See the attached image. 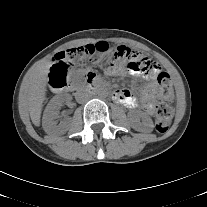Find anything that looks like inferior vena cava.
Listing matches in <instances>:
<instances>
[{
    "label": "inferior vena cava",
    "mask_w": 207,
    "mask_h": 207,
    "mask_svg": "<svg viewBox=\"0 0 207 207\" xmlns=\"http://www.w3.org/2000/svg\"><path fill=\"white\" fill-rule=\"evenodd\" d=\"M88 98H89V97H85V98H83V99H80V102H85V101H87Z\"/></svg>",
    "instance_id": "inferior-vena-cava-1"
}]
</instances>
